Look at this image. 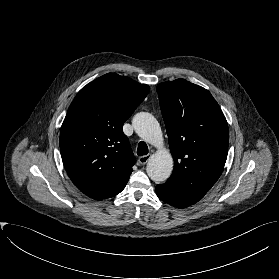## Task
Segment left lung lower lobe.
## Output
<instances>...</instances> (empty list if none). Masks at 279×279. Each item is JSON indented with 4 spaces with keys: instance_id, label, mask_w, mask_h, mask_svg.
<instances>
[{
    "instance_id": "left-lung-lower-lobe-1",
    "label": "left lung lower lobe",
    "mask_w": 279,
    "mask_h": 279,
    "mask_svg": "<svg viewBox=\"0 0 279 279\" xmlns=\"http://www.w3.org/2000/svg\"><path fill=\"white\" fill-rule=\"evenodd\" d=\"M157 196L164 202L178 207L185 208L201 200L204 195L174 186L168 182L156 186Z\"/></svg>"
}]
</instances>
